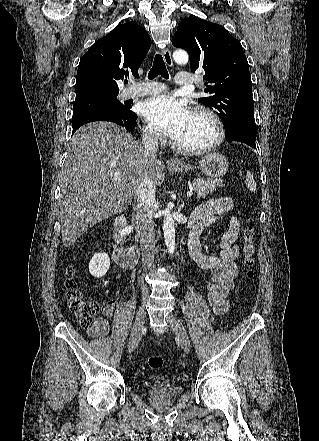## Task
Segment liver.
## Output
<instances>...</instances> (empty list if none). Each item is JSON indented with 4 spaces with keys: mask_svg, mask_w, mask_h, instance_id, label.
<instances>
[{
    "mask_svg": "<svg viewBox=\"0 0 319 441\" xmlns=\"http://www.w3.org/2000/svg\"><path fill=\"white\" fill-rule=\"evenodd\" d=\"M146 176L161 185L165 165L157 158L145 165L143 147L124 128L103 121L80 127L59 179L63 245L70 247L90 227L125 210Z\"/></svg>",
    "mask_w": 319,
    "mask_h": 441,
    "instance_id": "1",
    "label": "liver"
}]
</instances>
